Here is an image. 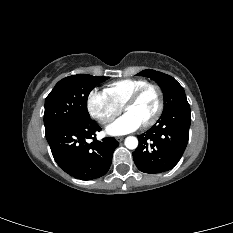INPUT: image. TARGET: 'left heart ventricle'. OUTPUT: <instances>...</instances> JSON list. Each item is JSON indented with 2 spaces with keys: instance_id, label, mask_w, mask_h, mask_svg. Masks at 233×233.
<instances>
[{
  "instance_id": "1",
  "label": "left heart ventricle",
  "mask_w": 233,
  "mask_h": 233,
  "mask_svg": "<svg viewBox=\"0 0 233 233\" xmlns=\"http://www.w3.org/2000/svg\"><path fill=\"white\" fill-rule=\"evenodd\" d=\"M157 107V92L154 89H148L134 104L129 106L125 112L132 114L142 125L154 115Z\"/></svg>"
}]
</instances>
